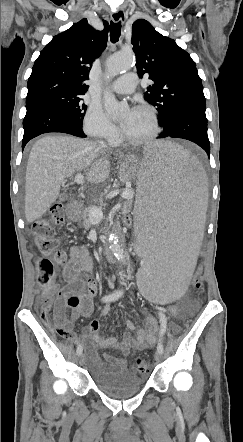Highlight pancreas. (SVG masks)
Here are the masks:
<instances>
[{
    "label": "pancreas",
    "mask_w": 243,
    "mask_h": 442,
    "mask_svg": "<svg viewBox=\"0 0 243 442\" xmlns=\"http://www.w3.org/2000/svg\"><path fill=\"white\" fill-rule=\"evenodd\" d=\"M130 206H131V201H126L124 203L123 210L124 211L129 210ZM91 209H92V207H87V208H85L83 210V216H82V218H83V225H84V227L86 229H89L92 226V220L90 219V216H89V212H90Z\"/></svg>",
    "instance_id": "obj_1"
}]
</instances>
